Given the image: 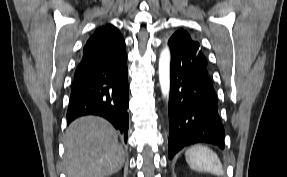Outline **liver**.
Masks as SVG:
<instances>
[{"label":"liver","instance_id":"1","mask_svg":"<svg viewBox=\"0 0 287 177\" xmlns=\"http://www.w3.org/2000/svg\"><path fill=\"white\" fill-rule=\"evenodd\" d=\"M64 165L68 177H105L118 172L125 153L118 134L106 120L81 117L65 133Z\"/></svg>","mask_w":287,"mask_h":177}]
</instances>
